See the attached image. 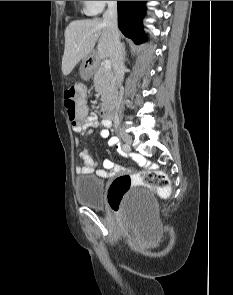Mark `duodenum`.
<instances>
[{"mask_svg": "<svg viewBox=\"0 0 233 295\" xmlns=\"http://www.w3.org/2000/svg\"><path fill=\"white\" fill-rule=\"evenodd\" d=\"M113 104H114V100L111 98L106 99L100 109H101V113L107 117L110 118L113 114Z\"/></svg>", "mask_w": 233, "mask_h": 295, "instance_id": "1", "label": "duodenum"}]
</instances>
